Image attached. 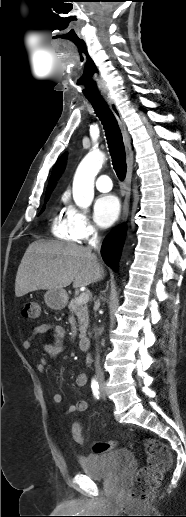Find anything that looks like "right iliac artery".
I'll return each mask as SVG.
<instances>
[{
  "label": "right iliac artery",
  "mask_w": 186,
  "mask_h": 517,
  "mask_svg": "<svg viewBox=\"0 0 186 517\" xmlns=\"http://www.w3.org/2000/svg\"><path fill=\"white\" fill-rule=\"evenodd\" d=\"M91 388H92V392H93L94 397L99 399V396H100L99 384H98V382H97V380L95 378H93L92 381H91Z\"/></svg>",
  "instance_id": "1"
}]
</instances>
